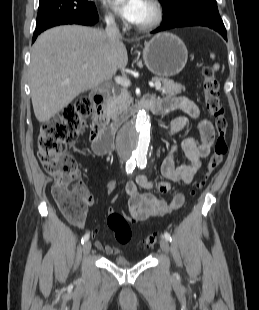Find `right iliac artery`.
<instances>
[{
	"label": "right iliac artery",
	"instance_id": "obj_1",
	"mask_svg": "<svg viewBox=\"0 0 259 310\" xmlns=\"http://www.w3.org/2000/svg\"><path fill=\"white\" fill-rule=\"evenodd\" d=\"M135 166H136L135 160H129V161H127V163H126V172H127L128 174L132 173L133 170L135 169ZM88 239H89V234L86 233V234L82 237L81 243L84 244L86 241H88Z\"/></svg>",
	"mask_w": 259,
	"mask_h": 310
}]
</instances>
